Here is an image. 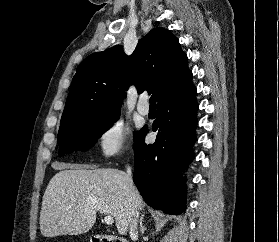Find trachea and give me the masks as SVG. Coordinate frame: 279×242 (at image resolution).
Masks as SVG:
<instances>
[{"instance_id": "trachea-1", "label": "trachea", "mask_w": 279, "mask_h": 242, "mask_svg": "<svg viewBox=\"0 0 279 242\" xmlns=\"http://www.w3.org/2000/svg\"><path fill=\"white\" fill-rule=\"evenodd\" d=\"M150 105L151 106H155V102H156V95L153 94L151 95L150 99H149Z\"/></svg>"}]
</instances>
